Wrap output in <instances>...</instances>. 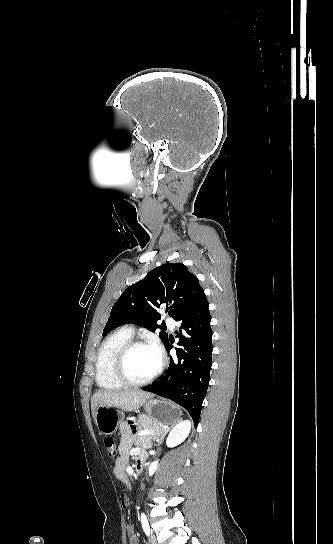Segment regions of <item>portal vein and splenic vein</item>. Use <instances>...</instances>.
<instances>
[{"mask_svg": "<svg viewBox=\"0 0 333 544\" xmlns=\"http://www.w3.org/2000/svg\"><path fill=\"white\" fill-rule=\"evenodd\" d=\"M147 434H151V432L149 430H141L138 435L142 436V435H147Z\"/></svg>", "mask_w": 333, "mask_h": 544, "instance_id": "1", "label": "portal vein and splenic vein"}]
</instances>
